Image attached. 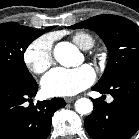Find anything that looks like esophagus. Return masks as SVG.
I'll use <instances>...</instances> for the list:
<instances>
[{
	"mask_svg": "<svg viewBox=\"0 0 139 139\" xmlns=\"http://www.w3.org/2000/svg\"><path fill=\"white\" fill-rule=\"evenodd\" d=\"M75 99H76L75 97H66V98H65V101H66L67 103H71V102H73Z\"/></svg>",
	"mask_w": 139,
	"mask_h": 139,
	"instance_id": "esophagus-1",
	"label": "esophagus"
}]
</instances>
